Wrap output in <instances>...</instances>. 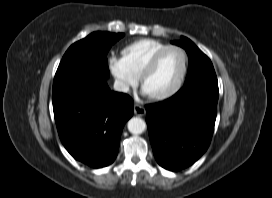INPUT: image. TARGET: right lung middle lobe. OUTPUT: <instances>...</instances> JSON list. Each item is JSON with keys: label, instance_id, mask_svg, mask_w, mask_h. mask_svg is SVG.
<instances>
[{"label": "right lung middle lobe", "instance_id": "right-lung-middle-lobe-1", "mask_svg": "<svg viewBox=\"0 0 272 198\" xmlns=\"http://www.w3.org/2000/svg\"><path fill=\"white\" fill-rule=\"evenodd\" d=\"M123 36V33L94 32L74 43L59 64L53 88L81 75L107 79L109 76L107 53Z\"/></svg>", "mask_w": 272, "mask_h": 198}]
</instances>
